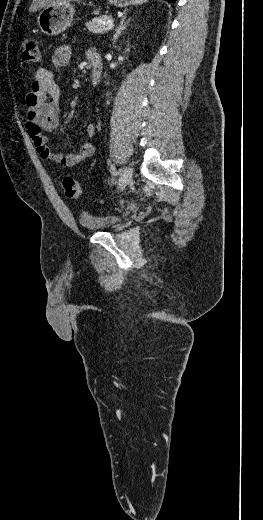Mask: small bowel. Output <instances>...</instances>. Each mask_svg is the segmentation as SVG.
<instances>
[{
  "label": "small bowel",
  "instance_id": "c3829d8e",
  "mask_svg": "<svg viewBox=\"0 0 263 520\" xmlns=\"http://www.w3.org/2000/svg\"><path fill=\"white\" fill-rule=\"evenodd\" d=\"M71 54L72 49L69 45L57 47L52 55L54 67L66 66L70 62ZM60 95L61 90L54 79L53 72L46 68H39L24 101L27 112L25 127L40 158L64 168H72L91 158L95 149L90 141H84L79 151L74 153H55L49 148L43 131L53 132L60 124ZM95 131V124L88 123L87 135L92 137Z\"/></svg>",
  "mask_w": 263,
  "mask_h": 520
}]
</instances>
